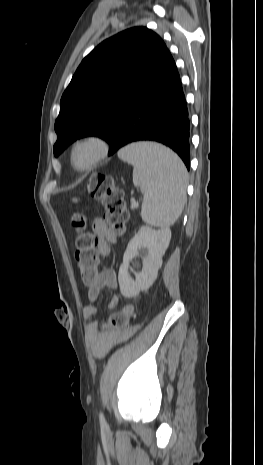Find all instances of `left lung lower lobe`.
I'll list each match as a JSON object with an SVG mask.
<instances>
[{"instance_id":"0a47b994","label":"left lung lower lobe","mask_w":263,"mask_h":465,"mask_svg":"<svg viewBox=\"0 0 263 465\" xmlns=\"http://www.w3.org/2000/svg\"><path fill=\"white\" fill-rule=\"evenodd\" d=\"M149 140L173 149L189 170V118L180 77L166 48L139 79L123 111L108 155L135 141Z\"/></svg>"}]
</instances>
